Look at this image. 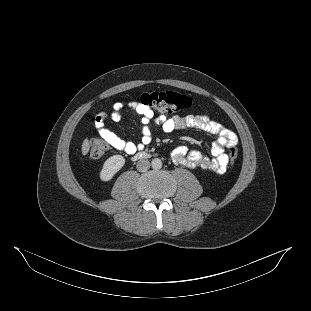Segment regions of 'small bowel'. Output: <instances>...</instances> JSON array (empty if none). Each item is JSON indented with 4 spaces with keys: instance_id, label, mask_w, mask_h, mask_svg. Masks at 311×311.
I'll use <instances>...</instances> for the list:
<instances>
[{
    "instance_id": "c3829d8e",
    "label": "small bowel",
    "mask_w": 311,
    "mask_h": 311,
    "mask_svg": "<svg viewBox=\"0 0 311 311\" xmlns=\"http://www.w3.org/2000/svg\"><path fill=\"white\" fill-rule=\"evenodd\" d=\"M126 108L141 116L142 130L141 142L139 144L126 140L105 128L104 119L107 117V114L99 113L95 117L94 124L99 134L114 149L134 154L142 149L143 146L148 145L152 141L151 124L158 126L164 133H171L181 128H195L215 137L211 148L212 157L203 156L199 151L182 145L173 150V161L189 168L210 170L219 174L226 171L229 159L225 149L237 144V136L233 131L222 126L209 115L196 113L185 117H166L165 115H156L150 107L143 104L140 100H130L127 102H116L113 105L110 114L111 120L119 122L122 118V111Z\"/></svg>"
}]
</instances>
